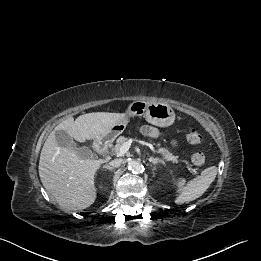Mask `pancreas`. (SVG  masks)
Wrapping results in <instances>:
<instances>
[{"mask_svg": "<svg viewBox=\"0 0 261 261\" xmlns=\"http://www.w3.org/2000/svg\"><path fill=\"white\" fill-rule=\"evenodd\" d=\"M129 139L127 137L124 136H120L117 140H116V144L115 146L112 148V153L113 154H117L118 150L120 149V147L127 142ZM156 146L158 147L157 152L159 154H161L163 156V158L167 161H172L174 163L178 162V156H174L168 149L166 148H162L160 147V144L157 143Z\"/></svg>", "mask_w": 261, "mask_h": 261, "instance_id": "1", "label": "pancreas"}]
</instances>
